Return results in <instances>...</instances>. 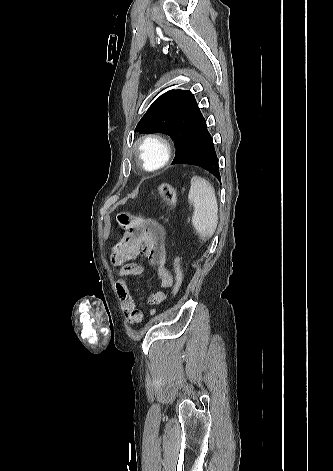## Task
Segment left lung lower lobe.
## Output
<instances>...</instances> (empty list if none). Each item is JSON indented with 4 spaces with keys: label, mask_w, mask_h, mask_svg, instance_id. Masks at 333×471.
<instances>
[{
    "label": "left lung lower lobe",
    "mask_w": 333,
    "mask_h": 471,
    "mask_svg": "<svg viewBox=\"0 0 333 471\" xmlns=\"http://www.w3.org/2000/svg\"><path fill=\"white\" fill-rule=\"evenodd\" d=\"M172 164L200 166L211 172L219 181L221 180L218 158L205 119L197 127L187 145L175 156Z\"/></svg>",
    "instance_id": "obj_1"
}]
</instances>
